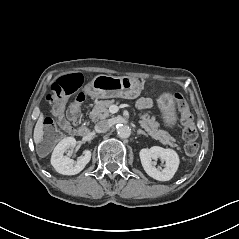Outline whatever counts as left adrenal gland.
<instances>
[{
  "mask_svg": "<svg viewBox=\"0 0 239 239\" xmlns=\"http://www.w3.org/2000/svg\"><path fill=\"white\" fill-rule=\"evenodd\" d=\"M134 131H136V134H137V135H144V136H146V137L148 136V135H147L145 132H143L141 129H139V130H135V129H134Z\"/></svg>",
  "mask_w": 239,
  "mask_h": 239,
  "instance_id": "left-adrenal-gland-1",
  "label": "left adrenal gland"
}]
</instances>
